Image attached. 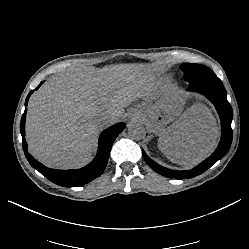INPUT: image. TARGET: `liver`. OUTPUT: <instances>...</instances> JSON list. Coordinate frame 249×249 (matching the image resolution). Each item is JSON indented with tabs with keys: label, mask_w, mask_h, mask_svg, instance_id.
I'll return each instance as SVG.
<instances>
[{
	"label": "liver",
	"mask_w": 249,
	"mask_h": 249,
	"mask_svg": "<svg viewBox=\"0 0 249 249\" xmlns=\"http://www.w3.org/2000/svg\"><path fill=\"white\" fill-rule=\"evenodd\" d=\"M155 81L158 78L151 77L148 69L133 65L49 78L28 104L27 141L31 152L51 167H80L90 159L102 129L99 116L110 115L113 124L132 102L149 99V104H138L134 109L135 119L160 132L159 145L171 150L172 161L192 165L205 158L219 137L211 111L194 105L170 127L163 128L165 118L178 115L182 105L171 103L173 88Z\"/></svg>",
	"instance_id": "liver-1"
}]
</instances>
